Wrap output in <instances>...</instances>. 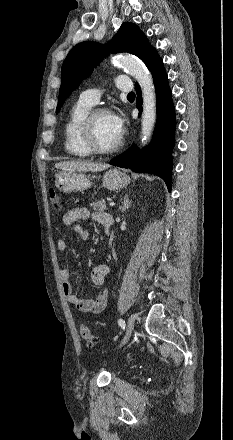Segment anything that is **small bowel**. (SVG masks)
I'll list each match as a JSON object with an SVG mask.
<instances>
[{"label":"small bowel","instance_id":"1","mask_svg":"<svg viewBox=\"0 0 233 440\" xmlns=\"http://www.w3.org/2000/svg\"><path fill=\"white\" fill-rule=\"evenodd\" d=\"M90 212L85 207H74L67 211L62 222L64 225H74V230L80 235L83 240L89 239V233L77 224L80 220H86L89 218ZM107 216H111L109 213L97 211L92 213V219L99 224ZM57 248L59 251H66L68 248L67 241L65 239H59L57 241ZM110 267L107 264L96 265L91 273V280L96 286H103L107 275L109 274ZM72 272L69 268H63L60 271V278L62 281V290L67 298V301L73 305L78 311L84 313L99 314L101 313L107 304L108 291L104 290L95 298H82L74 293L73 285L70 281Z\"/></svg>","mask_w":233,"mask_h":440}]
</instances>
